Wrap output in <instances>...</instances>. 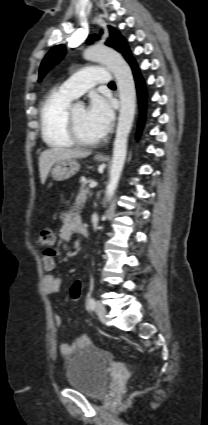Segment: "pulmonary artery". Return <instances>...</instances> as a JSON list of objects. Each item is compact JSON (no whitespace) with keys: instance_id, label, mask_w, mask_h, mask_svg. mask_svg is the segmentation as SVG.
<instances>
[{"instance_id":"obj_1","label":"pulmonary artery","mask_w":208,"mask_h":425,"mask_svg":"<svg viewBox=\"0 0 208 425\" xmlns=\"http://www.w3.org/2000/svg\"><path fill=\"white\" fill-rule=\"evenodd\" d=\"M110 74L103 67H86L67 79L61 86V90L73 98H77L96 84H109Z\"/></svg>"}]
</instances>
